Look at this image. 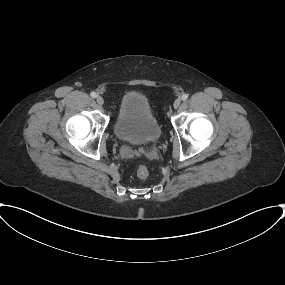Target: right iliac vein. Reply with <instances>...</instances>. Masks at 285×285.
Instances as JSON below:
<instances>
[{
    "label": "right iliac vein",
    "mask_w": 285,
    "mask_h": 285,
    "mask_svg": "<svg viewBox=\"0 0 285 285\" xmlns=\"http://www.w3.org/2000/svg\"><path fill=\"white\" fill-rule=\"evenodd\" d=\"M96 101L98 105H103L104 104V99L101 96L96 97Z\"/></svg>",
    "instance_id": "1"
}]
</instances>
